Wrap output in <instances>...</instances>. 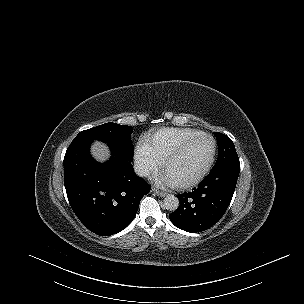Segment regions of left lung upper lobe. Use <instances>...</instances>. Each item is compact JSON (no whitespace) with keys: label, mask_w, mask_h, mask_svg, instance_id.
<instances>
[{"label":"left lung upper lobe","mask_w":304,"mask_h":304,"mask_svg":"<svg viewBox=\"0 0 304 304\" xmlns=\"http://www.w3.org/2000/svg\"><path fill=\"white\" fill-rule=\"evenodd\" d=\"M214 135L218 142L219 151L217 161L212 170L217 169L230 162L239 161L233 141L222 133L214 132Z\"/></svg>","instance_id":"5c2ea615"}]
</instances>
